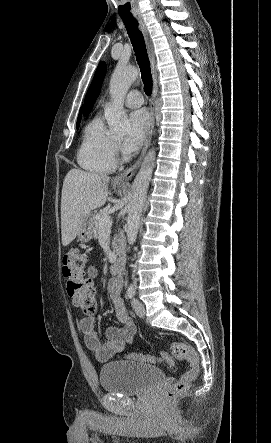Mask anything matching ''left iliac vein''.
<instances>
[{
	"label": "left iliac vein",
	"instance_id": "1",
	"mask_svg": "<svg viewBox=\"0 0 271 443\" xmlns=\"http://www.w3.org/2000/svg\"><path fill=\"white\" fill-rule=\"evenodd\" d=\"M131 304L136 315L140 318H144L145 317L144 305L137 298H133Z\"/></svg>",
	"mask_w": 271,
	"mask_h": 443
}]
</instances>
